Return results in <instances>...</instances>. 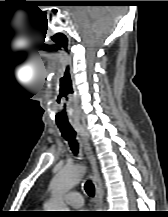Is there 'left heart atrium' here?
I'll use <instances>...</instances> for the list:
<instances>
[{"label":"left heart atrium","instance_id":"left-heart-atrium-1","mask_svg":"<svg viewBox=\"0 0 168 217\" xmlns=\"http://www.w3.org/2000/svg\"><path fill=\"white\" fill-rule=\"evenodd\" d=\"M78 215H79V217H82V216H84L85 214H84V213H79Z\"/></svg>","mask_w":168,"mask_h":217}]
</instances>
